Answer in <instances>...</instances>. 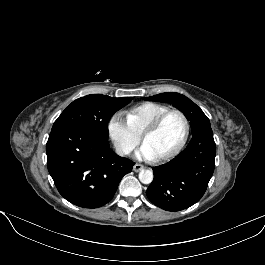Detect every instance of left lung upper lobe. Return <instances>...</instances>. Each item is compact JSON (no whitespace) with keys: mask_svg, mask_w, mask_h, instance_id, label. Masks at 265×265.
<instances>
[{"mask_svg":"<svg viewBox=\"0 0 265 265\" xmlns=\"http://www.w3.org/2000/svg\"><path fill=\"white\" fill-rule=\"evenodd\" d=\"M147 101L167 102L178 108L190 121L192 133L204 126H210L208 117L203 111L186 96L176 93H161L158 95L144 97Z\"/></svg>","mask_w":265,"mask_h":265,"instance_id":"5c2ea615","label":"left lung upper lobe"}]
</instances>
